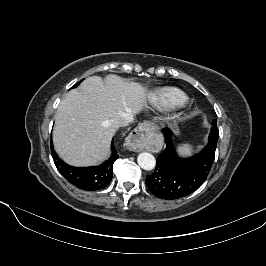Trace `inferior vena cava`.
Wrapping results in <instances>:
<instances>
[{"label": "inferior vena cava", "mask_w": 266, "mask_h": 266, "mask_svg": "<svg viewBox=\"0 0 266 266\" xmlns=\"http://www.w3.org/2000/svg\"><path fill=\"white\" fill-rule=\"evenodd\" d=\"M133 120H134L133 115L123 113L119 116H116L114 119H112L111 123H112V126L116 129L119 127L127 126Z\"/></svg>", "instance_id": "inferior-vena-cava-1"}]
</instances>
